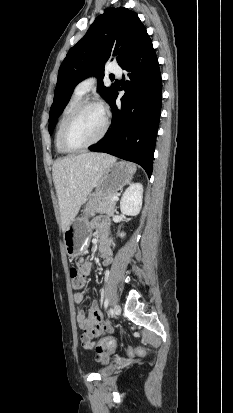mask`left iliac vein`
Segmentation results:
<instances>
[{
	"instance_id": "4c4485c4",
	"label": "left iliac vein",
	"mask_w": 233,
	"mask_h": 413,
	"mask_svg": "<svg viewBox=\"0 0 233 413\" xmlns=\"http://www.w3.org/2000/svg\"><path fill=\"white\" fill-rule=\"evenodd\" d=\"M113 312H114V314L115 315H120V313H121V307H120V305H118V304H116L115 306H114V308H113Z\"/></svg>"
}]
</instances>
